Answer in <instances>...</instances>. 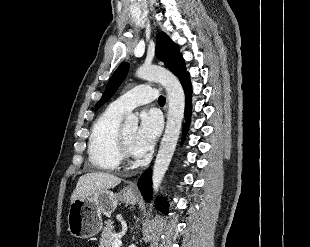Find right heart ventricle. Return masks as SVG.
<instances>
[{"instance_id": "right-heart-ventricle-1", "label": "right heart ventricle", "mask_w": 310, "mask_h": 247, "mask_svg": "<svg viewBox=\"0 0 310 247\" xmlns=\"http://www.w3.org/2000/svg\"><path fill=\"white\" fill-rule=\"evenodd\" d=\"M123 112L108 106L92 126L88 156L91 164L99 170H115L121 160L119 131Z\"/></svg>"}]
</instances>
